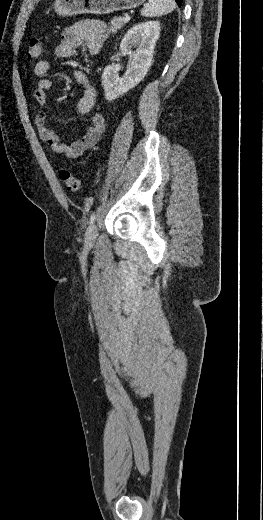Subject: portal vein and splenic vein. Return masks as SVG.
<instances>
[{"label": "portal vein and splenic vein", "instance_id": "1", "mask_svg": "<svg viewBox=\"0 0 263 520\" xmlns=\"http://www.w3.org/2000/svg\"><path fill=\"white\" fill-rule=\"evenodd\" d=\"M124 20L125 21H129L130 20V16L128 14H125Z\"/></svg>", "mask_w": 263, "mask_h": 520}]
</instances>
